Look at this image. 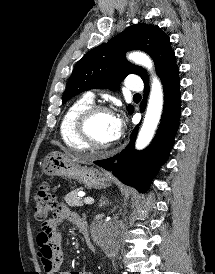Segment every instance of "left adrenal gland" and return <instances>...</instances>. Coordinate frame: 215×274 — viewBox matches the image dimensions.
Instances as JSON below:
<instances>
[{
    "mask_svg": "<svg viewBox=\"0 0 215 274\" xmlns=\"http://www.w3.org/2000/svg\"><path fill=\"white\" fill-rule=\"evenodd\" d=\"M109 204L108 200H105L102 196L100 199L99 207H103L104 205Z\"/></svg>",
    "mask_w": 215,
    "mask_h": 274,
    "instance_id": "obj_1",
    "label": "left adrenal gland"
}]
</instances>
